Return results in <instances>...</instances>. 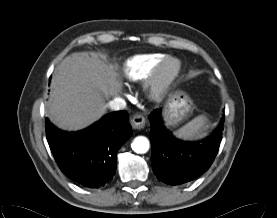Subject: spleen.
Segmentation results:
<instances>
[{
    "label": "spleen",
    "instance_id": "obj_1",
    "mask_svg": "<svg viewBox=\"0 0 277 218\" xmlns=\"http://www.w3.org/2000/svg\"><path fill=\"white\" fill-rule=\"evenodd\" d=\"M208 118L206 115H199L192 121L174 132V135L183 140H194L204 136L207 129Z\"/></svg>",
    "mask_w": 277,
    "mask_h": 218
}]
</instances>
